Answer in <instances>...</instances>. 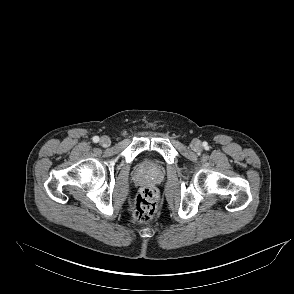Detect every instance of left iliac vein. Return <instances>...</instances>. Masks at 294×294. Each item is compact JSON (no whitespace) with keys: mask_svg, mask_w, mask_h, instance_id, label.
Instances as JSON below:
<instances>
[{"mask_svg":"<svg viewBox=\"0 0 294 294\" xmlns=\"http://www.w3.org/2000/svg\"><path fill=\"white\" fill-rule=\"evenodd\" d=\"M191 146L194 151H200L202 148L201 142L199 140H194Z\"/></svg>","mask_w":294,"mask_h":294,"instance_id":"obj_1","label":"left iliac vein"}]
</instances>
